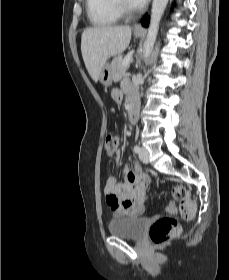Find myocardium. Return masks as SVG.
I'll return each instance as SVG.
<instances>
[{
  "instance_id": "1",
  "label": "myocardium",
  "mask_w": 229,
  "mask_h": 280,
  "mask_svg": "<svg viewBox=\"0 0 229 280\" xmlns=\"http://www.w3.org/2000/svg\"><path fill=\"white\" fill-rule=\"evenodd\" d=\"M114 7L120 16H128L134 14L137 9L127 5L125 0H113Z\"/></svg>"
}]
</instances>
